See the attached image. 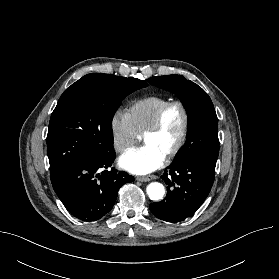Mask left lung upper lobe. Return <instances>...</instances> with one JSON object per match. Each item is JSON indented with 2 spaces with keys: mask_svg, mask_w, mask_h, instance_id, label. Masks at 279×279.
Segmentation results:
<instances>
[{
  "mask_svg": "<svg viewBox=\"0 0 279 279\" xmlns=\"http://www.w3.org/2000/svg\"><path fill=\"white\" fill-rule=\"evenodd\" d=\"M148 82L176 93L187 111V140L172 164L194 161L215 169L219 153L218 119L207 93L181 75L152 77Z\"/></svg>",
  "mask_w": 279,
  "mask_h": 279,
  "instance_id": "left-lung-upper-lobe-1",
  "label": "left lung upper lobe"
}]
</instances>
